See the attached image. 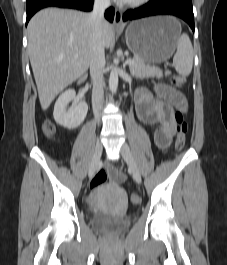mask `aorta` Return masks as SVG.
<instances>
[{"instance_id":"762f6f07","label":"aorta","mask_w":227,"mask_h":265,"mask_svg":"<svg viewBox=\"0 0 227 265\" xmlns=\"http://www.w3.org/2000/svg\"><path fill=\"white\" fill-rule=\"evenodd\" d=\"M118 87V70L117 67H113L109 77V88L112 93H116Z\"/></svg>"}]
</instances>
